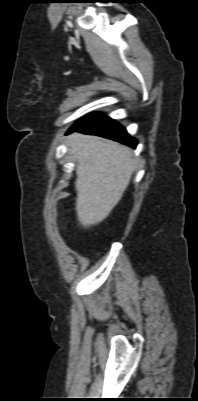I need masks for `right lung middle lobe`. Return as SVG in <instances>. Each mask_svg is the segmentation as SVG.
<instances>
[{
	"instance_id": "dd1d6c3e",
	"label": "right lung middle lobe",
	"mask_w": 198,
	"mask_h": 401,
	"mask_svg": "<svg viewBox=\"0 0 198 401\" xmlns=\"http://www.w3.org/2000/svg\"><path fill=\"white\" fill-rule=\"evenodd\" d=\"M90 116H92V115H87V116L84 117L83 119L79 120L76 124L73 125V127L76 126V125H78V124H80V123H82V122H84V121H85L86 119H88Z\"/></svg>"
}]
</instances>
